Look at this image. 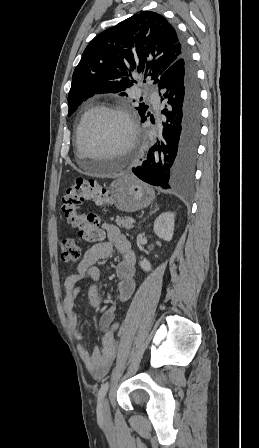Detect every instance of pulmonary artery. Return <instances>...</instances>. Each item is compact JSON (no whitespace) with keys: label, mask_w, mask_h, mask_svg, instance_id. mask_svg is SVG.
<instances>
[{"label":"pulmonary artery","mask_w":259,"mask_h":448,"mask_svg":"<svg viewBox=\"0 0 259 448\" xmlns=\"http://www.w3.org/2000/svg\"><path fill=\"white\" fill-rule=\"evenodd\" d=\"M150 102L155 106L157 111H160L162 108L161 100L159 95H150L149 98Z\"/></svg>","instance_id":"pulmonary-artery-1"}]
</instances>
